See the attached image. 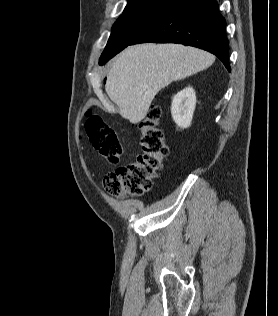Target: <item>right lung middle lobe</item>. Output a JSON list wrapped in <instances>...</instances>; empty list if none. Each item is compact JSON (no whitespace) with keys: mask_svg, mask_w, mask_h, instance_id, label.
I'll list each match as a JSON object with an SVG mask.
<instances>
[{"mask_svg":"<svg viewBox=\"0 0 278 316\" xmlns=\"http://www.w3.org/2000/svg\"><path fill=\"white\" fill-rule=\"evenodd\" d=\"M169 0H128L123 14L113 25L99 64L112 58L136 39L165 8Z\"/></svg>","mask_w":278,"mask_h":316,"instance_id":"right-lung-middle-lobe-1","label":"right lung middle lobe"}]
</instances>
